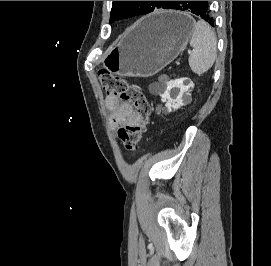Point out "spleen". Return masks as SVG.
<instances>
[{"label":"spleen","mask_w":271,"mask_h":266,"mask_svg":"<svg viewBox=\"0 0 271 266\" xmlns=\"http://www.w3.org/2000/svg\"><path fill=\"white\" fill-rule=\"evenodd\" d=\"M190 45L193 51L188 59L189 66L200 76L213 66L217 57V38L209 24L203 20L194 24Z\"/></svg>","instance_id":"obj_1"}]
</instances>
